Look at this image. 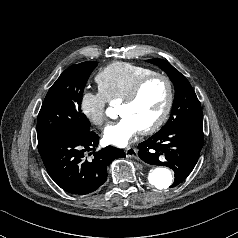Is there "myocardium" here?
I'll return each mask as SVG.
<instances>
[{"instance_id": "myocardium-1", "label": "myocardium", "mask_w": 238, "mask_h": 238, "mask_svg": "<svg viewBox=\"0 0 238 238\" xmlns=\"http://www.w3.org/2000/svg\"><path fill=\"white\" fill-rule=\"evenodd\" d=\"M157 79L162 80L166 85L167 100L159 117L151 125H149L148 127L144 129H141L142 134H151L157 131L167 120L173 106V101H174V88L170 78L160 73H154V74L148 75L142 78L140 81H138L136 85L133 87V89L131 90V92L128 94V96L122 101V105H131L135 103L140 97L144 88L150 82Z\"/></svg>"}]
</instances>
